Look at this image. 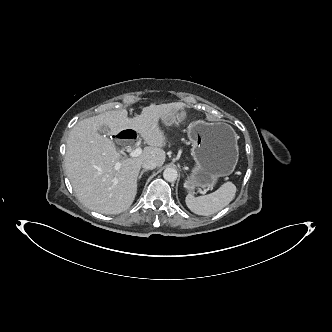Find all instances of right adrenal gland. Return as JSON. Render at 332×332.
Returning a JSON list of instances; mask_svg holds the SVG:
<instances>
[{
	"instance_id": "obj_1",
	"label": "right adrenal gland",
	"mask_w": 332,
	"mask_h": 332,
	"mask_svg": "<svg viewBox=\"0 0 332 332\" xmlns=\"http://www.w3.org/2000/svg\"><path fill=\"white\" fill-rule=\"evenodd\" d=\"M146 171H147V170H145V169H144V170H142V171L140 172V175H139V177H138V178L140 179V178L142 177V175H143V174H144Z\"/></svg>"
}]
</instances>
